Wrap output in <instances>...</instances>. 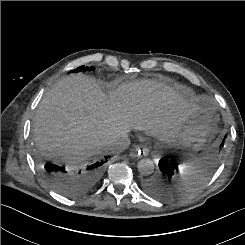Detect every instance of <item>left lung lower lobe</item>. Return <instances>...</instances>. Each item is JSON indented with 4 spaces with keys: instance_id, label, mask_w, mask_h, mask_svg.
I'll list each match as a JSON object with an SVG mask.
<instances>
[{
    "instance_id": "left-lung-lower-lobe-1",
    "label": "left lung lower lobe",
    "mask_w": 245,
    "mask_h": 245,
    "mask_svg": "<svg viewBox=\"0 0 245 245\" xmlns=\"http://www.w3.org/2000/svg\"><path fill=\"white\" fill-rule=\"evenodd\" d=\"M224 143L221 144L223 146ZM178 175V164L174 158L164 157L159 161V173L147 177L142 186L156 198H166L170 193L166 184L174 181Z\"/></svg>"
}]
</instances>
